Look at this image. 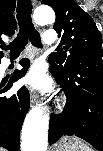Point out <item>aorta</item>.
I'll return each instance as SVG.
<instances>
[{
  "label": "aorta",
  "mask_w": 103,
  "mask_h": 151,
  "mask_svg": "<svg viewBox=\"0 0 103 151\" xmlns=\"http://www.w3.org/2000/svg\"><path fill=\"white\" fill-rule=\"evenodd\" d=\"M34 20L38 25H47L55 21L54 11L40 6L34 11ZM49 116L40 107H34L26 116L22 127V151H47Z\"/></svg>",
  "instance_id": "obj_1"
}]
</instances>
